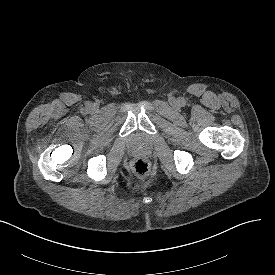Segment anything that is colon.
Segmentation results:
<instances>
[{"mask_svg": "<svg viewBox=\"0 0 275 275\" xmlns=\"http://www.w3.org/2000/svg\"><path fill=\"white\" fill-rule=\"evenodd\" d=\"M134 174L140 178H145L150 173V165L146 159L136 158L132 163Z\"/></svg>", "mask_w": 275, "mask_h": 275, "instance_id": "obj_1", "label": "colon"}]
</instances>
